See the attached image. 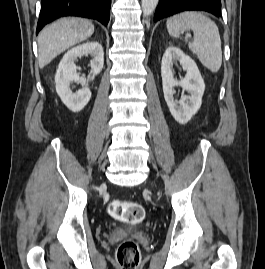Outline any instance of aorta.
Segmentation results:
<instances>
[{
	"label": "aorta",
	"instance_id": "obj_1",
	"mask_svg": "<svg viewBox=\"0 0 265 269\" xmlns=\"http://www.w3.org/2000/svg\"><path fill=\"white\" fill-rule=\"evenodd\" d=\"M159 0H141V6L144 16H149L155 10Z\"/></svg>",
	"mask_w": 265,
	"mask_h": 269
}]
</instances>
